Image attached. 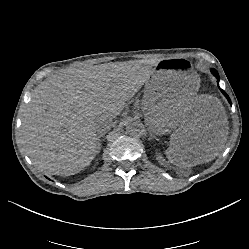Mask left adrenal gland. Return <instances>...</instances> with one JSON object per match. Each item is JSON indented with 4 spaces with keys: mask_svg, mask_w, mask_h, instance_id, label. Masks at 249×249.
I'll use <instances>...</instances> for the list:
<instances>
[{
    "mask_svg": "<svg viewBox=\"0 0 249 249\" xmlns=\"http://www.w3.org/2000/svg\"><path fill=\"white\" fill-rule=\"evenodd\" d=\"M152 139H155V140L159 141V139H157L154 136L150 135L149 138H148V140H152Z\"/></svg>",
    "mask_w": 249,
    "mask_h": 249,
    "instance_id": "obj_1",
    "label": "left adrenal gland"
}]
</instances>
